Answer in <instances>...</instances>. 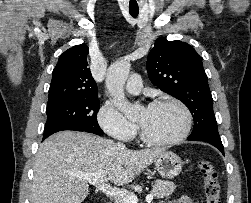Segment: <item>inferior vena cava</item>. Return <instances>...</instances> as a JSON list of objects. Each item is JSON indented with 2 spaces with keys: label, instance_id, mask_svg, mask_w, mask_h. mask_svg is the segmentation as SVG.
Here are the masks:
<instances>
[{
  "label": "inferior vena cava",
  "instance_id": "inferior-vena-cava-1",
  "mask_svg": "<svg viewBox=\"0 0 251 203\" xmlns=\"http://www.w3.org/2000/svg\"><path fill=\"white\" fill-rule=\"evenodd\" d=\"M118 146L122 147V148H125V145L124 144H121V143H118Z\"/></svg>",
  "mask_w": 251,
  "mask_h": 203
}]
</instances>
